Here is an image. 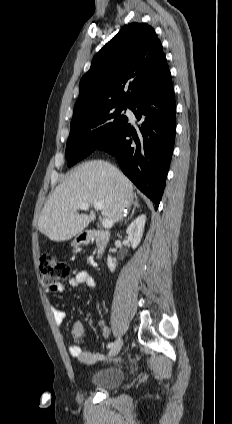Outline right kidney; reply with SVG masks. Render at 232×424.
Here are the masks:
<instances>
[{"mask_svg":"<svg viewBox=\"0 0 232 424\" xmlns=\"http://www.w3.org/2000/svg\"><path fill=\"white\" fill-rule=\"evenodd\" d=\"M146 222V216H138L127 228L126 233L128 235L127 239L131 243L132 248L135 249L139 245L141 238L143 236L144 226ZM107 265L111 272L115 271L116 260L108 256Z\"/></svg>","mask_w":232,"mask_h":424,"instance_id":"right-kidney-1","label":"right kidney"}]
</instances>
